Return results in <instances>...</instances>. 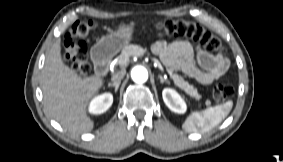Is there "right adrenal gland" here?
Returning <instances> with one entry per match:
<instances>
[{"mask_svg": "<svg viewBox=\"0 0 283 162\" xmlns=\"http://www.w3.org/2000/svg\"><path fill=\"white\" fill-rule=\"evenodd\" d=\"M108 86L109 87H114L115 88V93H117L118 88L120 86V83H117V84H115V83H108Z\"/></svg>", "mask_w": 283, "mask_h": 162, "instance_id": "2a0ac1e0", "label": "right adrenal gland"}]
</instances>
